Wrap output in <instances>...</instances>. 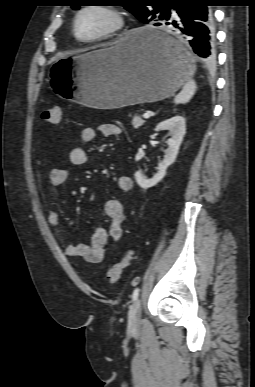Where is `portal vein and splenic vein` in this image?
Instances as JSON below:
<instances>
[{"label": "portal vein and splenic vein", "instance_id": "1", "mask_svg": "<svg viewBox=\"0 0 255 387\" xmlns=\"http://www.w3.org/2000/svg\"><path fill=\"white\" fill-rule=\"evenodd\" d=\"M151 113L150 112H146V113H144L143 114V117L145 118V119H148V118H150L151 117Z\"/></svg>", "mask_w": 255, "mask_h": 387}]
</instances>
